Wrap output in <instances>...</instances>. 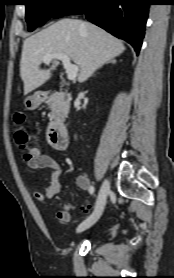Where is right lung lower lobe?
Instances as JSON below:
<instances>
[{
    "instance_id": "right-lung-lower-lobe-1",
    "label": "right lung lower lobe",
    "mask_w": 174,
    "mask_h": 278,
    "mask_svg": "<svg viewBox=\"0 0 174 278\" xmlns=\"http://www.w3.org/2000/svg\"><path fill=\"white\" fill-rule=\"evenodd\" d=\"M149 5L148 0H79L67 14H85L90 22L130 43L138 54Z\"/></svg>"
}]
</instances>
